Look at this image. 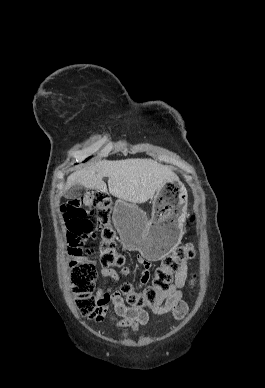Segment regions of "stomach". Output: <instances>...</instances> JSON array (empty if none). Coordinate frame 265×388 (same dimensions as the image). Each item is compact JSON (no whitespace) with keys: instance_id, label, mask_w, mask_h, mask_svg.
Returning a JSON list of instances; mask_svg holds the SVG:
<instances>
[{"instance_id":"obj_1","label":"stomach","mask_w":265,"mask_h":388,"mask_svg":"<svg viewBox=\"0 0 265 388\" xmlns=\"http://www.w3.org/2000/svg\"><path fill=\"white\" fill-rule=\"evenodd\" d=\"M188 195L179 180L167 181L153 199L152 218L137 206L122 199L116 201L113 220L123 246L158 261L178 245L187 216Z\"/></svg>"}]
</instances>
